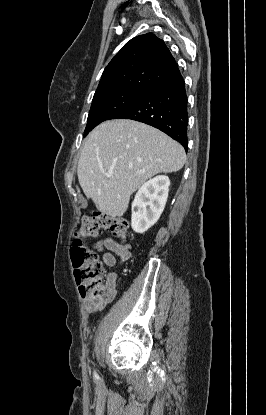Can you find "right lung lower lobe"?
<instances>
[{
  "mask_svg": "<svg viewBox=\"0 0 266 415\" xmlns=\"http://www.w3.org/2000/svg\"><path fill=\"white\" fill-rule=\"evenodd\" d=\"M187 108L185 82L180 75L156 86L143 99L110 119H131L151 125L178 141L187 151Z\"/></svg>",
  "mask_w": 266,
  "mask_h": 415,
  "instance_id": "right-lung-lower-lobe-1",
  "label": "right lung lower lobe"
}]
</instances>
